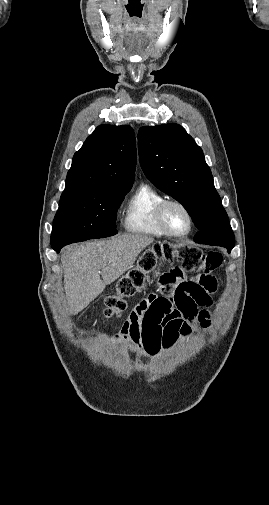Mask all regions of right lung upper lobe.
I'll list each match as a JSON object with an SVG mask.
<instances>
[{"label":"right lung upper lobe","mask_w":269,"mask_h":505,"mask_svg":"<svg viewBox=\"0 0 269 505\" xmlns=\"http://www.w3.org/2000/svg\"><path fill=\"white\" fill-rule=\"evenodd\" d=\"M135 165L133 129L128 125H100L75 153L65 190L129 191Z\"/></svg>","instance_id":"1"}]
</instances>
